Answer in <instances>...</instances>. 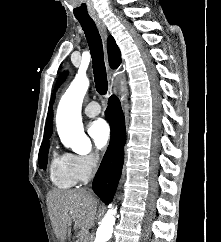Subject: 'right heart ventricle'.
Returning <instances> with one entry per match:
<instances>
[{
	"mask_svg": "<svg viewBox=\"0 0 221 242\" xmlns=\"http://www.w3.org/2000/svg\"><path fill=\"white\" fill-rule=\"evenodd\" d=\"M50 179L59 188H68L76 183L69 156L53 154L50 164Z\"/></svg>",
	"mask_w": 221,
	"mask_h": 242,
	"instance_id": "e07e8e85",
	"label": "right heart ventricle"
}]
</instances>
